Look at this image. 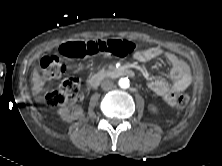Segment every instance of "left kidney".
Listing matches in <instances>:
<instances>
[{
    "instance_id": "left-kidney-1",
    "label": "left kidney",
    "mask_w": 222,
    "mask_h": 166,
    "mask_svg": "<svg viewBox=\"0 0 222 166\" xmlns=\"http://www.w3.org/2000/svg\"><path fill=\"white\" fill-rule=\"evenodd\" d=\"M149 110H150L151 112H153V113H157V112H158L157 107L154 106V105H150V106H149Z\"/></svg>"
}]
</instances>
